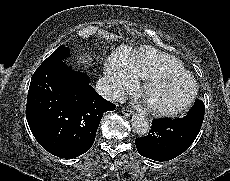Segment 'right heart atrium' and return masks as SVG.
Returning <instances> with one entry per match:
<instances>
[{"mask_svg":"<svg viewBox=\"0 0 230 181\" xmlns=\"http://www.w3.org/2000/svg\"><path fill=\"white\" fill-rule=\"evenodd\" d=\"M106 88L112 94H120L129 88L136 77L124 69L114 67L109 61L104 65Z\"/></svg>","mask_w":230,"mask_h":181,"instance_id":"1","label":"right heart atrium"}]
</instances>
